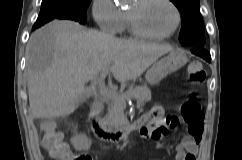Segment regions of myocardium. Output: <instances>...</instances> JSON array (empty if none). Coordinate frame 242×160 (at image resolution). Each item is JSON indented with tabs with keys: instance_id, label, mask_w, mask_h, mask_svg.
<instances>
[{
	"instance_id": "myocardium-1",
	"label": "myocardium",
	"mask_w": 242,
	"mask_h": 160,
	"mask_svg": "<svg viewBox=\"0 0 242 160\" xmlns=\"http://www.w3.org/2000/svg\"><path fill=\"white\" fill-rule=\"evenodd\" d=\"M136 1H138L139 4H144L148 0H136ZM164 1L172 7V9L174 10V12L176 14V23H175L174 28L169 33H166V34L149 33L141 27L136 14L133 11H127L126 14H127L129 26H130V29L133 32V34H135L136 36L143 38V39L163 40V39H168V38L172 37L178 31V29L181 25V21H182L181 12L173 0H164Z\"/></svg>"
}]
</instances>
